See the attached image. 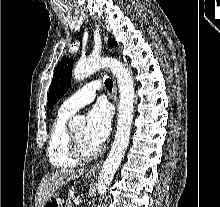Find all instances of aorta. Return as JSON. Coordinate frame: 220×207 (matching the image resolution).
Wrapping results in <instances>:
<instances>
[{
  "instance_id": "aorta-1",
  "label": "aorta",
  "mask_w": 220,
  "mask_h": 207,
  "mask_svg": "<svg viewBox=\"0 0 220 207\" xmlns=\"http://www.w3.org/2000/svg\"><path fill=\"white\" fill-rule=\"evenodd\" d=\"M101 68H109L116 76L119 86L118 121L116 134L110 152L101 167L97 182L98 194L100 197H103L106 194L107 189L122 162L129 144L133 121L135 92L134 81L130 71L122 62L115 58L91 57L86 61H80L73 69V77L75 80H83ZM84 124L85 119L76 116L70 121L69 126L74 127L76 125Z\"/></svg>"
}]
</instances>
